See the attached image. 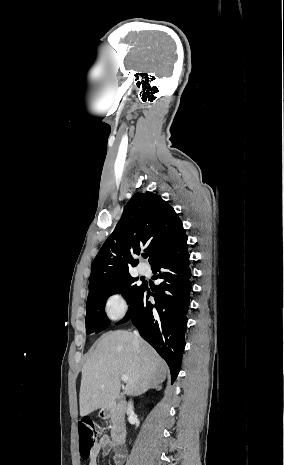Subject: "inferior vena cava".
Instances as JSON below:
<instances>
[{"label":"inferior vena cava","instance_id":"602c4592","mask_svg":"<svg viewBox=\"0 0 284 465\" xmlns=\"http://www.w3.org/2000/svg\"><path fill=\"white\" fill-rule=\"evenodd\" d=\"M134 335H135V337H139L137 331H134ZM127 415H133V405H132L131 401H130V403H128Z\"/></svg>","mask_w":284,"mask_h":465}]
</instances>
